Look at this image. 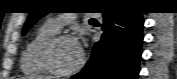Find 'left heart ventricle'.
<instances>
[{
	"instance_id": "b2bd125f",
	"label": "left heart ventricle",
	"mask_w": 177,
	"mask_h": 79,
	"mask_svg": "<svg viewBox=\"0 0 177 79\" xmlns=\"http://www.w3.org/2000/svg\"><path fill=\"white\" fill-rule=\"evenodd\" d=\"M51 64L58 70L67 71L74 68L80 61L78 45L65 40L55 45L49 52Z\"/></svg>"
}]
</instances>
